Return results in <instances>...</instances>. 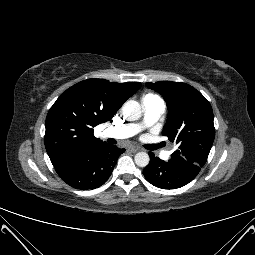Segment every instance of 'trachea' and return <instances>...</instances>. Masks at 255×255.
Returning a JSON list of instances; mask_svg holds the SVG:
<instances>
[{
    "label": "trachea",
    "instance_id": "obj_1",
    "mask_svg": "<svg viewBox=\"0 0 255 255\" xmlns=\"http://www.w3.org/2000/svg\"><path fill=\"white\" fill-rule=\"evenodd\" d=\"M163 146H164V144H157V145H154V146H153V150L158 149V148L163 147Z\"/></svg>",
    "mask_w": 255,
    "mask_h": 255
}]
</instances>
